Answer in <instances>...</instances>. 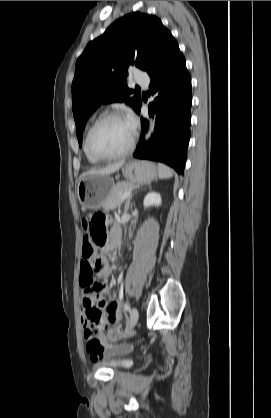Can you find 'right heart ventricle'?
<instances>
[{
  "label": "right heart ventricle",
  "instance_id": "right-heart-ventricle-1",
  "mask_svg": "<svg viewBox=\"0 0 271 418\" xmlns=\"http://www.w3.org/2000/svg\"><path fill=\"white\" fill-rule=\"evenodd\" d=\"M84 153H85V155H86V157H87V159L89 160V162H91V163H98L100 160H98V159H96V158H94L89 152H88V150H87V148H86V144L84 143Z\"/></svg>",
  "mask_w": 271,
  "mask_h": 418
}]
</instances>
